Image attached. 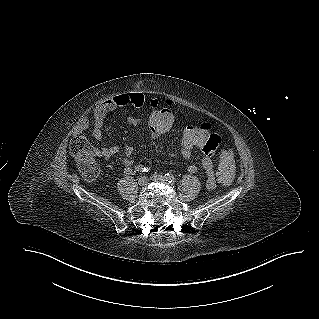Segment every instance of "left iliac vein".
Wrapping results in <instances>:
<instances>
[{
  "instance_id": "left-iliac-vein-1",
  "label": "left iliac vein",
  "mask_w": 319,
  "mask_h": 319,
  "mask_svg": "<svg viewBox=\"0 0 319 319\" xmlns=\"http://www.w3.org/2000/svg\"><path fill=\"white\" fill-rule=\"evenodd\" d=\"M151 180L157 181V182H165V177L161 174H153L151 175Z\"/></svg>"
}]
</instances>
